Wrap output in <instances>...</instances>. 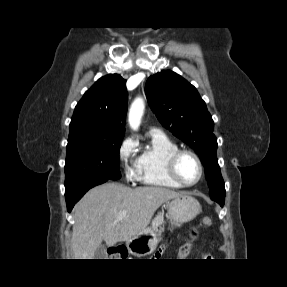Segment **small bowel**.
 <instances>
[{
  "label": "small bowel",
  "instance_id": "c3829d8e",
  "mask_svg": "<svg viewBox=\"0 0 287 287\" xmlns=\"http://www.w3.org/2000/svg\"><path fill=\"white\" fill-rule=\"evenodd\" d=\"M166 244L163 245L159 250H158V254H160L162 251H164V249L166 248Z\"/></svg>",
  "mask_w": 287,
  "mask_h": 287
}]
</instances>
